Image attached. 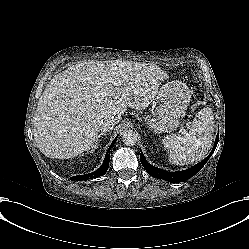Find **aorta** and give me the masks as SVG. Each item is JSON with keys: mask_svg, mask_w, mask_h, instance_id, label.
Returning a JSON list of instances; mask_svg holds the SVG:
<instances>
[{"mask_svg": "<svg viewBox=\"0 0 249 249\" xmlns=\"http://www.w3.org/2000/svg\"><path fill=\"white\" fill-rule=\"evenodd\" d=\"M138 136L133 130H125L122 133V142L126 146H133L137 143Z\"/></svg>", "mask_w": 249, "mask_h": 249, "instance_id": "1", "label": "aorta"}]
</instances>
